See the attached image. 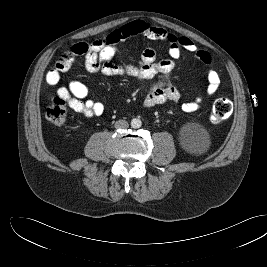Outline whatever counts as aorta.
Returning <instances> with one entry per match:
<instances>
[{"label":"aorta","mask_w":267,"mask_h":267,"mask_svg":"<svg viewBox=\"0 0 267 267\" xmlns=\"http://www.w3.org/2000/svg\"><path fill=\"white\" fill-rule=\"evenodd\" d=\"M142 126V121L139 118H134L131 120V127L132 128H140Z\"/></svg>","instance_id":"762f6f07"}]
</instances>
